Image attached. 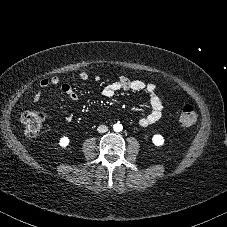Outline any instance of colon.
Here are the masks:
<instances>
[{"label": "colon", "mask_w": 227, "mask_h": 227, "mask_svg": "<svg viewBox=\"0 0 227 227\" xmlns=\"http://www.w3.org/2000/svg\"><path fill=\"white\" fill-rule=\"evenodd\" d=\"M197 110L193 104H185L179 114V123L183 127H191L197 121ZM45 121V116L42 112L29 110L25 112L20 120V123L29 136L37 135Z\"/></svg>", "instance_id": "5ec220e1"}]
</instances>
